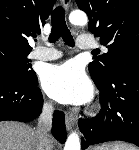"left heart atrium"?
<instances>
[{"instance_id":"left-heart-atrium-1","label":"left heart atrium","mask_w":139,"mask_h":150,"mask_svg":"<svg viewBox=\"0 0 139 150\" xmlns=\"http://www.w3.org/2000/svg\"><path fill=\"white\" fill-rule=\"evenodd\" d=\"M42 87L54 100L64 104H84L91 100L93 88L76 62L48 67L41 77Z\"/></svg>"}]
</instances>
